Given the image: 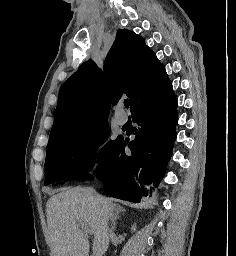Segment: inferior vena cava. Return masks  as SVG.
<instances>
[{
	"label": "inferior vena cava",
	"instance_id": "1",
	"mask_svg": "<svg viewBox=\"0 0 236 256\" xmlns=\"http://www.w3.org/2000/svg\"><path fill=\"white\" fill-rule=\"evenodd\" d=\"M90 192H92V194H96L95 190H93V188H90Z\"/></svg>",
	"mask_w": 236,
	"mask_h": 256
}]
</instances>
